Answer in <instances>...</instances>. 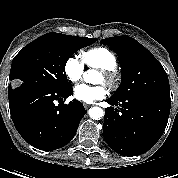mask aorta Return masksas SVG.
Returning <instances> with one entry per match:
<instances>
[{
  "mask_svg": "<svg viewBox=\"0 0 178 178\" xmlns=\"http://www.w3.org/2000/svg\"><path fill=\"white\" fill-rule=\"evenodd\" d=\"M95 73V70H88L83 74L85 82H91V77ZM89 116L93 120H100L104 116V111L100 107H92L89 109Z\"/></svg>",
  "mask_w": 178,
  "mask_h": 178,
  "instance_id": "aorta-1",
  "label": "aorta"
}]
</instances>
